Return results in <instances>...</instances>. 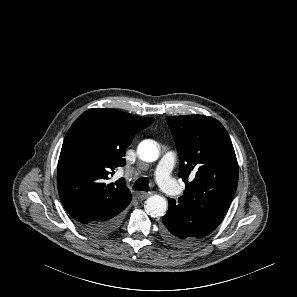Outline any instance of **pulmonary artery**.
Here are the masks:
<instances>
[{"mask_svg":"<svg viewBox=\"0 0 297 297\" xmlns=\"http://www.w3.org/2000/svg\"><path fill=\"white\" fill-rule=\"evenodd\" d=\"M175 156L172 152L165 153L159 160L155 177L159 186L169 195L178 193L176 182L171 178V172L174 166Z\"/></svg>","mask_w":297,"mask_h":297,"instance_id":"1","label":"pulmonary artery"}]
</instances>
